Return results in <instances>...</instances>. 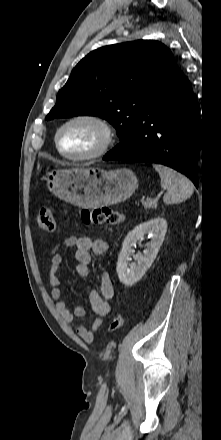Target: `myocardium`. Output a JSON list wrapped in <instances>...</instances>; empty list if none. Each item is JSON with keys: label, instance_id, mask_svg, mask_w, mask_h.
Wrapping results in <instances>:
<instances>
[{"label": "myocardium", "instance_id": "1", "mask_svg": "<svg viewBox=\"0 0 221 440\" xmlns=\"http://www.w3.org/2000/svg\"><path fill=\"white\" fill-rule=\"evenodd\" d=\"M77 122H85L95 125L101 132V142L99 146L90 153L83 155H70L62 151L59 138L60 134L66 127ZM114 140L115 132L110 122L104 117L92 113H82L70 117L57 128L54 137L55 146L59 154L63 158L73 162L93 160L105 155L113 146Z\"/></svg>", "mask_w": 221, "mask_h": 440}]
</instances>
